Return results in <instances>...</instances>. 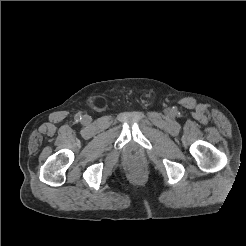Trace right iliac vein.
Here are the masks:
<instances>
[{
	"mask_svg": "<svg viewBox=\"0 0 246 246\" xmlns=\"http://www.w3.org/2000/svg\"><path fill=\"white\" fill-rule=\"evenodd\" d=\"M82 122H83V123H86V124L89 123V122H90V117L87 116V115L83 116Z\"/></svg>",
	"mask_w": 246,
	"mask_h": 246,
	"instance_id": "obj_1",
	"label": "right iliac vein"
}]
</instances>
